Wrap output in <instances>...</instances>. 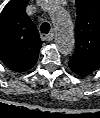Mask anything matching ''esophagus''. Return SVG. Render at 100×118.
Wrapping results in <instances>:
<instances>
[{"label":"esophagus","mask_w":100,"mask_h":118,"mask_svg":"<svg viewBox=\"0 0 100 118\" xmlns=\"http://www.w3.org/2000/svg\"><path fill=\"white\" fill-rule=\"evenodd\" d=\"M54 37H55V33L54 32H51L49 34H43L41 36L42 40H44V41H52L54 39Z\"/></svg>","instance_id":"34e87169"}]
</instances>
